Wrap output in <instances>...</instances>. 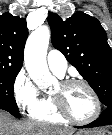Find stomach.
Masks as SVG:
<instances>
[{
	"instance_id": "1",
	"label": "stomach",
	"mask_w": 112,
	"mask_h": 135,
	"mask_svg": "<svg viewBox=\"0 0 112 135\" xmlns=\"http://www.w3.org/2000/svg\"><path fill=\"white\" fill-rule=\"evenodd\" d=\"M75 135H99L92 131H79ZM102 135H105L104 133Z\"/></svg>"
}]
</instances>
